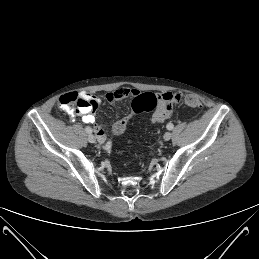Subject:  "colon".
I'll list each match as a JSON object with an SVG mask.
<instances>
[{
    "label": "colon",
    "instance_id": "5ec220e1",
    "mask_svg": "<svg viewBox=\"0 0 259 259\" xmlns=\"http://www.w3.org/2000/svg\"><path fill=\"white\" fill-rule=\"evenodd\" d=\"M184 103L192 108L201 107L199 99L193 95H187L184 97ZM158 105V97L152 93H142L135 96L132 102V109L135 114L150 112L154 110ZM131 116L125 117L122 120L116 122L113 126V132L116 135L123 133L129 123Z\"/></svg>",
    "mask_w": 259,
    "mask_h": 259
}]
</instances>
